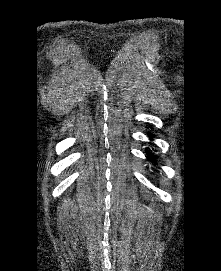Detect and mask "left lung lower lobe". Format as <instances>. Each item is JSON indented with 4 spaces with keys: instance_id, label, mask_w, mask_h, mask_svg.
<instances>
[{
    "instance_id": "1",
    "label": "left lung lower lobe",
    "mask_w": 221,
    "mask_h": 271,
    "mask_svg": "<svg viewBox=\"0 0 221 271\" xmlns=\"http://www.w3.org/2000/svg\"><path fill=\"white\" fill-rule=\"evenodd\" d=\"M150 138H152V135H150ZM148 159H150L151 161H154L155 156L152 154V152L148 151Z\"/></svg>"
}]
</instances>
